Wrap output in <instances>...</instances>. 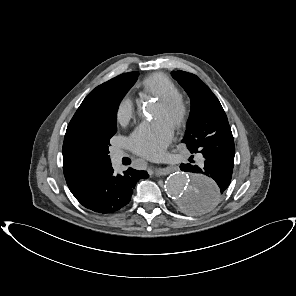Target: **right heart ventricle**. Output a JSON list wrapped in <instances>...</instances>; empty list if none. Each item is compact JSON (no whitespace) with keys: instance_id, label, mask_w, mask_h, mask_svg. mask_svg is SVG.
Listing matches in <instances>:
<instances>
[{"instance_id":"1","label":"right heart ventricle","mask_w":296,"mask_h":296,"mask_svg":"<svg viewBox=\"0 0 296 296\" xmlns=\"http://www.w3.org/2000/svg\"><path fill=\"white\" fill-rule=\"evenodd\" d=\"M143 92L161 98L180 95L178 86L166 75L153 73L144 78L141 83Z\"/></svg>"}]
</instances>
